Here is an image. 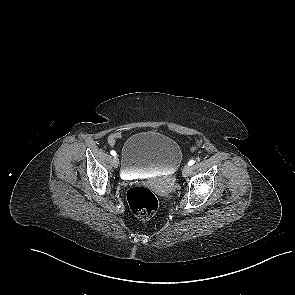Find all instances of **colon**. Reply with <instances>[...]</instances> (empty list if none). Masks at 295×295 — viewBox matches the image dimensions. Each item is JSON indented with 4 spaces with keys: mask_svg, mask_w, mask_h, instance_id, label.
<instances>
[{
    "mask_svg": "<svg viewBox=\"0 0 295 295\" xmlns=\"http://www.w3.org/2000/svg\"><path fill=\"white\" fill-rule=\"evenodd\" d=\"M132 213L140 220H148L158 210L157 197L147 188L132 187L126 194Z\"/></svg>",
    "mask_w": 295,
    "mask_h": 295,
    "instance_id": "obj_1",
    "label": "colon"
}]
</instances>
